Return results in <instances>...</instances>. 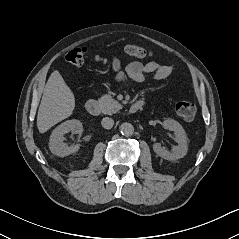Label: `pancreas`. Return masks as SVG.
<instances>
[{"mask_svg":"<svg viewBox=\"0 0 239 239\" xmlns=\"http://www.w3.org/2000/svg\"><path fill=\"white\" fill-rule=\"evenodd\" d=\"M101 104L102 112L104 114L112 115L122 108V105L111 95H104L99 99Z\"/></svg>","mask_w":239,"mask_h":239,"instance_id":"1","label":"pancreas"}]
</instances>
